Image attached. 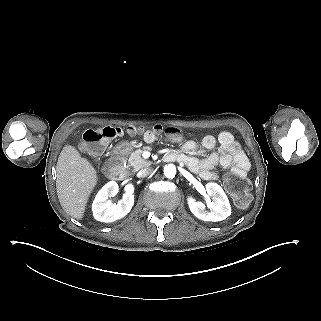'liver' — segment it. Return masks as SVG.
I'll use <instances>...</instances> for the list:
<instances>
[{
    "label": "liver",
    "instance_id": "6515ba94",
    "mask_svg": "<svg viewBox=\"0 0 321 321\" xmlns=\"http://www.w3.org/2000/svg\"><path fill=\"white\" fill-rule=\"evenodd\" d=\"M56 188L64 211L78 220L83 218L97 174L89 161L72 146L66 145L58 158Z\"/></svg>",
    "mask_w": 321,
    "mask_h": 321
}]
</instances>
